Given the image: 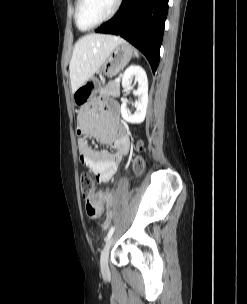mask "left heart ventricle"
<instances>
[{"instance_id": "1", "label": "left heart ventricle", "mask_w": 247, "mask_h": 304, "mask_svg": "<svg viewBox=\"0 0 247 304\" xmlns=\"http://www.w3.org/2000/svg\"><path fill=\"white\" fill-rule=\"evenodd\" d=\"M116 0H84L80 9V25L87 28L104 19L114 8Z\"/></svg>"}]
</instances>
